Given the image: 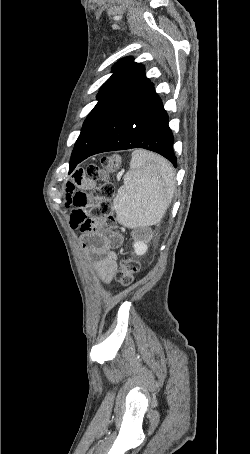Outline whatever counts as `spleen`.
Segmentation results:
<instances>
[{"label":"spleen","instance_id":"spleen-1","mask_svg":"<svg viewBox=\"0 0 250 454\" xmlns=\"http://www.w3.org/2000/svg\"><path fill=\"white\" fill-rule=\"evenodd\" d=\"M113 200L116 219L130 228H144L161 221L175 190V174L163 157L145 150L132 152L130 169Z\"/></svg>","mask_w":250,"mask_h":454}]
</instances>
